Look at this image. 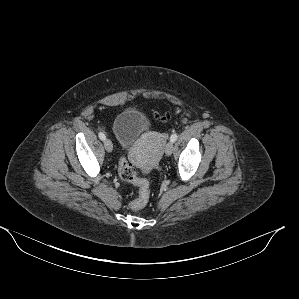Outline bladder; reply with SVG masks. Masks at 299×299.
Returning <instances> with one entry per match:
<instances>
[{"label": "bladder", "mask_w": 299, "mask_h": 299, "mask_svg": "<svg viewBox=\"0 0 299 299\" xmlns=\"http://www.w3.org/2000/svg\"><path fill=\"white\" fill-rule=\"evenodd\" d=\"M113 133L122 150H127L148 130L145 116L136 109L120 112L113 121Z\"/></svg>", "instance_id": "31cf9c89"}]
</instances>
